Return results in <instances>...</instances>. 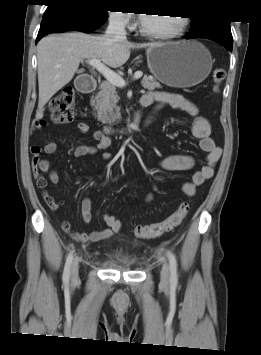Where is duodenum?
Wrapping results in <instances>:
<instances>
[{
  "mask_svg": "<svg viewBox=\"0 0 261 355\" xmlns=\"http://www.w3.org/2000/svg\"><path fill=\"white\" fill-rule=\"evenodd\" d=\"M97 87V81L95 78L84 75L81 76L76 83V88L79 92L81 93H90L92 92L95 88ZM139 124V116L136 115L129 127H127L125 130L128 132H133L135 131L136 127Z\"/></svg>",
  "mask_w": 261,
  "mask_h": 355,
  "instance_id": "410a0bca",
  "label": "duodenum"
}]
</instances>
